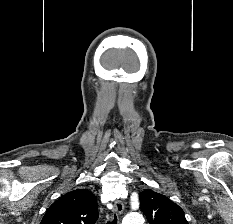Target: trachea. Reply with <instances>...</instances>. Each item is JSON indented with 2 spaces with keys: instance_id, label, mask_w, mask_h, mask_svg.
Instances as JSON below:
<instances>
[{
  "instance_id": "1",
  "label": "trachea",
  "mask_w": 233,
  "mask_h": 224,
  "mask_svg": "<svg viewBox=\"0 0 233 224\" xmlns=\"http://www.w3.org/2000/svg\"><path fill=\"white\" fill-rule=\"evenodd\" d=\"M107 224H117V217L114 215V218L112 221H109Z\"/></svg>"
}]
</instances>
